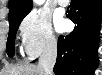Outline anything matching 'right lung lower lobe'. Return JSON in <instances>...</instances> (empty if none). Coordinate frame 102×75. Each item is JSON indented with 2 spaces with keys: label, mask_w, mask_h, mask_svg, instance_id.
Returning <instances> with one entry per match:
<instances>
[{
  "label": "right lung lower lobe",
  "mask_w": 102,
  "mask_h": 75,
  "mask_svg": "<svg viewBox=\"0 0 102 75\" xmlns=\"http://www.w3.org/2000/svg\"><path fill=\"white\" fill-rule=\"evenodd\" d=\"M67 17L76 27L58 39L56 75H92L97 63V48L102 14L101 0H72Z\"/></svg>",
  "instance_id": "98d812e1"
}]
</instances>
